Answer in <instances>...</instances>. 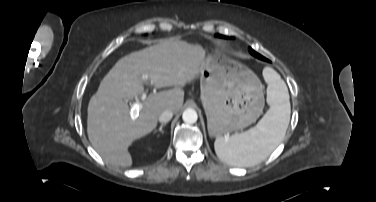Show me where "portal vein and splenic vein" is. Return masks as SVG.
Masks as SVG:
<instances>
[{
	"instance_id": "18ae733b",
	"label": "portal vein and splenic vein",
	"mask_w": 376,
	"mask_h": 202,
	"mask_svg": "<svg viewBox=\"0 0 376 202\" xmlns=\"http://www.w3.org/2000/svg\"><path fill=\"white\" fill-rule=\"evenodd\" d=\"M142 79L144 80V81H147L148 80V76L147 75H143L142 76ZM146 99V93H144V94H142V96H141V100H145ZM139 101L138 100H136V102H134L133 104H132V106H131V111H133V112H137V111H139Z\"/></svg>"
}]
</instances>
